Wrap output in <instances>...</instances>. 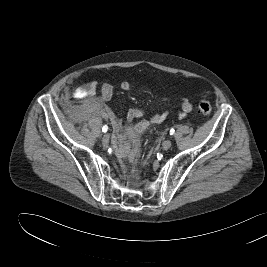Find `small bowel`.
Instances as JSON below:
<instances>
[{
    "instance_id": "1",
    "label": "small bowel",
    "mask_w": 267,
    "mask_h": 267,
    "mask_svg": "<svg viewBox=\"0 0 267 267\" xmlns=\"http://www.w3.org/2000/svg\"><path fill=\"white\" fill-rule=\"evenodd\" d=\"M121 87L125 91H129L132 88L130 83L127 81L123 82ZM96 88L97 82L91 81L90 83H88L87 87L85 88L86 95L89 97L94 96ZM100 95L102 102L108 103L113 95L112 86L108 83L103 84L100 87ZM192 109V103L188 99L182 98L180 99V111H177L176 115L180 118H185L187 114L192 111ZM101 113L105 119H108L111 122L115 132L124 138H132L137 136L138 134L146 130L149 126L163 122L171 114V112L165 111L161 113H156L152 115L149 119L134 122L135 119L141 118L144 115V110H142L141 108H130L127 112L125 119V123L128 124V126L124 130H122L120 128V123L118 119L110 110L103 109ZM133 151L135 154L138 153V149H134Z\"/></svg>"
}]
</instances>
